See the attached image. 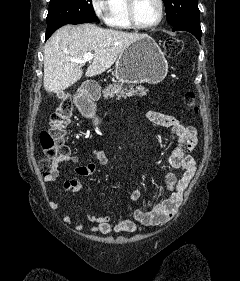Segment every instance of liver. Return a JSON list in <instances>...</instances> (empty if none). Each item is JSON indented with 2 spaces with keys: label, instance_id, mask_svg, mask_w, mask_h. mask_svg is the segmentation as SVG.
Returning <instances> with one entry per match:
<instances>
[{
  "label": "liver",
  "instance_id": "liver-1",
  "mask_svg": "<svg viewBox=\"0 0 240 281\" xmlns=\"http://www.w3.org/2000/svg\"><path fill=\"white\" fill-rule=\"evenodd\" d=\"M145 34L103 29L94 24L66 25L58 29L44 48L43 85L47 92L57 93L70 87L83 75L82 59L94 53L85 76L93 77L109 69L121 53Z\"/></svg>",
  "mask_w": 240,
  "mask_h": 281
}]
</instances>
